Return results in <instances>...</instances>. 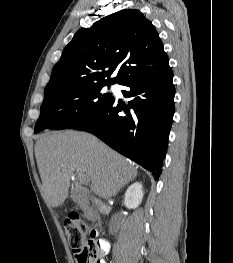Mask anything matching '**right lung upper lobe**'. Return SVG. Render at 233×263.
<instances>
[{
    "label": "right lung upper lobe",
    "instance_id": "cb5924a9",
    "mask_svg": "<svg viewBox=\"0 0 233 263\" xmlns=\"http://www.w3.org/2000/svg\"><path fill=\"white\" fill-rule=\"evenodd\" d=\"M167 67L168 56L153 24L139 10L124 9L76 32L53 67L44 98L89 85L121 84ZM116 68L117 76L110 78Z\"/></svg>",
    "mask_w": 233,
    "mask_h": 263
}]
</instances>
